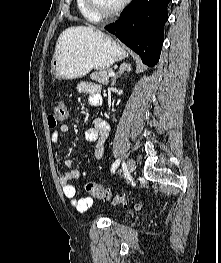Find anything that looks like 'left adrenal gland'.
Wrapping results in <instances>:
<instances>
[{"label": "left adrenal gland", "mask_w": 221, "mask_h": 263, "mask_svg": "<svg viewBox=\"0 0 221 263\" xmlns=\"http://www.w3.org/2000/svg\"><path fill=\"white\" fill-rule=\"evenodd\" d=\"M131 69V66L129 64H126V63H122L120 65V68H119V71L117 72V74L114 76L113 80H112V83H111V86H114L117 79L125 72V71H130Z\"/></svg>", "instance_id": "obj_1"}]
</instances>
